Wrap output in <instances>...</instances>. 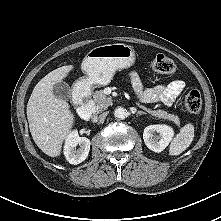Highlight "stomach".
Segmentation results:
<instances>
[{
  "instance_id": "0dacf381",
  "label": "stomach",
  "mask_w": 221,
  "mask_h": 221,
  "mask_svg": "<svg viewBox=\"0 0 221 221\" xmlns=\"http://www.w3.org/2000/svg\"><path fill=\"white\" fill-rule=\"evenodd\" d=\"M135 62V51L124 43L107 44L91 49L82 61L85 74L78 84L88 89L107 85L115 72L131 67Z\"/></svg>"
}]
</instances>
